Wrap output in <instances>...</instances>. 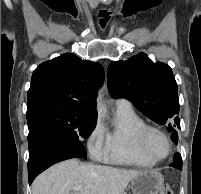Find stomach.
<instances>
[{
  "instance_id": "obj_1",
  "label": "stomach",
  "mask_w": 201,
  "mask_h": 194,
  "mask_svg": "<svg viewBox=\"0 0 201 194\" xmlns=\"http://www.w3.org/2000/svg\"><path fill=\"white\" fill-rule=\"evenodd\" d=\"M164 184L163 176L156 171H143L131 180L132 194H158Z\"/></svg>"
}]
</instances>
